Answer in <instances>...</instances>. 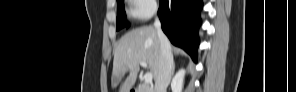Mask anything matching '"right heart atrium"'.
Masks as SVG:
<instances>
[{"label": "right heart atrium", "mask_w": 296, "mask_h": 92, "mask_svg": "<svg viewBox=\"0 0 296 92\" xmlns=\"http://www.w3.org/2000/svg\"><path fill=\"white\" fill-rule=\"evenodd\" d=\"M157 2L154 0H132L129 3L128 15L137 21H146L154 15Z\"/></svg>", "instance_id": "right-heart-atrium-1"}]
</instances>
